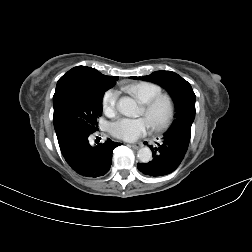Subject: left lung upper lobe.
Wrapping results in <instances>:
<instances>
[{
	"label": "left lung upper lobe",
	"mask_w": 252,
	"mask_h": 252,
	"mask_svg": "<svg viewBox=\"0 0 252 252\" xmlns=\"http://www.w3.org/2000/svg\"><path fill=\"white\" fill-rule=\"evenodd\" d=\"M132 78L137 79V77ZM139 79L161 85L172 96L176 113L175 120L169 129L184 123L192 125L195 118L196 96L189 82L171 71H156Z\"/></svg>",
	"instance_id": "left-lung-upper-lobe-1"
}]
</instances>
